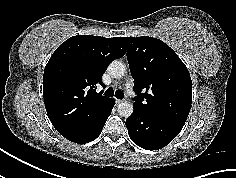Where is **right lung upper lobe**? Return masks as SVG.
Returning <instances> with one entry per match:
<instances>
[{
    "label": "right lung upper lobe",
    "mask_w": 236,
    "mask_h": 178,
    "mask_svg": "<svg viewBox=\"0 0 236 178\" xmlns=\"http://www.w3.org/2000/svg\"><path fill=\"white\" fill-rule=\"evenodd\" d=\"M121 37L73 36L63 42L49 59L43 76V97L48 117L65 138L95 128L114 102L97 85L109 63L124 56Z\"/></svg>",
    "instance_id": "obj_1"
}]
</instances>
